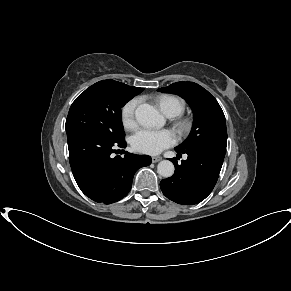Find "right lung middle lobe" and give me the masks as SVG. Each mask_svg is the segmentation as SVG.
Segmentation results:
<instances>
[{
	"label": "right lung middle lobe",
	"mask_w": 291,
	"mask_h": 291,
	"mask_svg": "<svg viewBox=\"0 0 291 291\" xmlns=\"http://www.w3.org/2000/svg\"><path fill=\"white\" fill-rule=\"evenodd\" d=\"M135 95L105 81L95 83L71 105L66 131H83L114 143L124 140L121 107Z\"/></svg>",
	"instance_id": "obj_1"
}]
</instances>
